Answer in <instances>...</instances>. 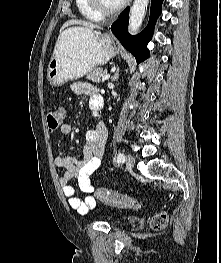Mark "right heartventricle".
Wrapping results in <instances>:
<instances>
[{"mask_svg":"<svg viewBox=\"0 0 221 263\" xmlns=\"http://www.w3.org/2000/svg\"><path fill=\"white\" fill-rule=\"evenodd\" d=\"M76 6L82 16L91 21H100L102 17L99 16L88 4L87 0H76Z\"/></svg>","mask_w":221,"mask_h":263,"instance_id":"right-heart-ventricle-1","label":"right heart ventricle"}]
</instances>
